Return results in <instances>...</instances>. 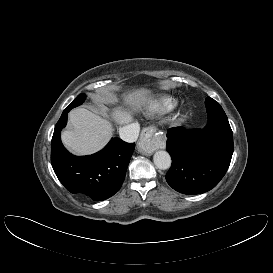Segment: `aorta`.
<instances>
[{
    "label": "aorta",
    "instance_id": "aorta-1",
    "mask_svg": "<svg viewBox=\"0 0 273 273\" xmlns=\"http://www.w3.org/2000/svg\"><path fill=\"white\" fill-rule=\"evenodd\" d=\"M153 161L158 169L166 170L171 166V157L168 152L160 150L155 152Z\"/></svg>",
    "mask_w": 273,
    "mask_h": 273
}]
</instances>
